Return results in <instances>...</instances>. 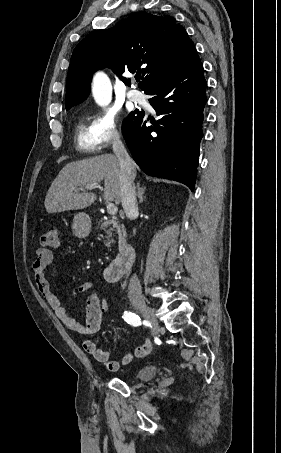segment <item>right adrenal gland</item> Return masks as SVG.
<instances>
[{
  "label": "right adrenal gland",
  "instance_id": "obj_1",
  "mask_svg": "<svg viewBox=\"0 0 281 453\" xmlns=\"http://www.w3.org/2000/svg\"><path fill=\"white\" fill-rule=\"evenodd\" d=\"M146 186H140V182H137V196L139 202H143V194L145 192Z\"/></svg>",
  "mask_w": 281,
  "mask_h": 453
}]
</instances>
